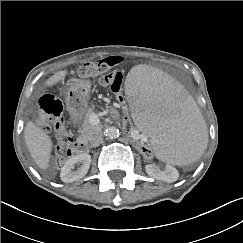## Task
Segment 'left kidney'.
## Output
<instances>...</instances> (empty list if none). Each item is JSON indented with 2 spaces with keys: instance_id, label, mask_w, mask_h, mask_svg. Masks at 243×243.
<instances>
[{
  "instance_id": "obj_1",
  "label": "left kidney",
  "mask_w": 243,
  "mask_h": 243,
  "mask_svg": "<svg viewBox=\"0 0 243 243\" xmlns=\"http://www.w3.org/2000/svg\"><path fill=\"white\" fill-rule=\"evenodd\" d=\"M145 171L150 177L167 183L175 182L179 178L177 169L170 164H166L164 171L160 170L155 164H148L145 166Z\"/></svg>"
}]
</instances>
